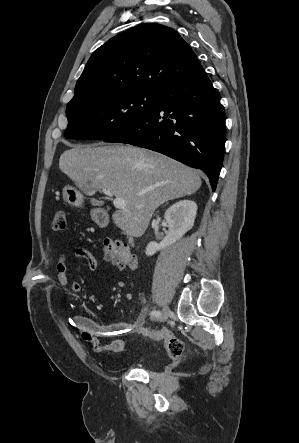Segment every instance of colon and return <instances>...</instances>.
I'll return each mask as SVG.
<instances>
[{"instance_id":"colon-1","label":"colon","mask_w":299,"mask_h":443,"mask_svg":"<svg viewBox=\"0 0 299 443\" xmlns=\"http://www.w3.org/2000/svg\"><path fill=\"white\" fill-rule=\"evenodd\" d=\"M52 228L63 232L67 229L66 215L63 211H56L52 219ZM101 253L105 260L121 270L135 268L137 264L136 255L131 247L118 239H104L101 241ZM143 335L156 341H163L170 357L179 358L184 352V342L165 328H146Z\"/></svg>"}]
</instances>
